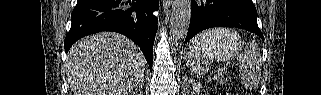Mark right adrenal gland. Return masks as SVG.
<instances>
[{"label": "right adrenal gland", "instance_id": "1", "mask_svg": "<svg viewBox=\"0 0 321 95\" xmlns=\"http://www.w3.org/2000/svg\"><path fill=\"white\" fill-rule=\"evenodd\" d=\"M144 86V78L141 80V82L135 87V90L139 88V90H142Z\"/></svg>", "mask_w": 321, "mask_h": 95}]
</instances>
